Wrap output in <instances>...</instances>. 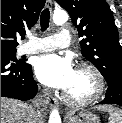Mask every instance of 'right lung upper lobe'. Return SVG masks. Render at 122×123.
Masks as SVG:
<instances>
[{
  "label": "right lung upper lobe",
  "instance_id": "obj_1",
  "mask_svg": "<svg viewBox=\"0 0 122 123\" xmlns=\"http://www.w3.org/2000/svg\"><path fill=\"white\" fill-rule=\"evenodd\" d=\"M46 0H1V49H16V38L36 24Z\"/></svg>",
  "mask_w": 122,
  "mask_h": 123
}]
</instances>
